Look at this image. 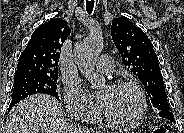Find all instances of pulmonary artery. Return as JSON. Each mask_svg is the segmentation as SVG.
Returning <instances> with one entry per match:
<instances>
[{
	"label": "pulmonary artery",
	"mask_w": 184,
	"mask_h": 133,
	"mask_svg": "<svg viewBox=\"0 0 184 133\" xmlns=\"http://www.w3.org/2000/svg\"><path fill=\"white\" fill-rule=\"evenodd\" d=\"M95 66L99 72L110 74L114 70L113 58L110 55H101Z\"/></svg>",
	"instance_id": "pulmonary-artery-1"
}]
</instances>
